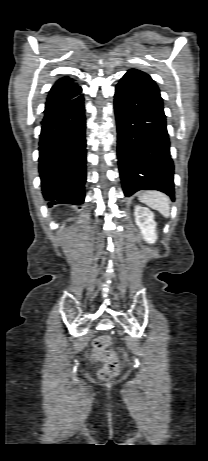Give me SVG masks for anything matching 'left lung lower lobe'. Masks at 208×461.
<instances>
[{"instance_id": "left-lung-lower-lobe-1", "label": "left lung lower lobe", "mask_w": 208, "mask_h": 461, "mask_svg": "<svg viewBox=\"0 0 208 461\" xmlns=\"http://www.w3.org/2000/svg\"><path fill=\"white\" fill-rule=\"evenodd\" d=\"M117 157L125 196L158 190L174 200V165L159 88L136 69L120 79L114 96Z\"/></svg>"}]
</instances>
